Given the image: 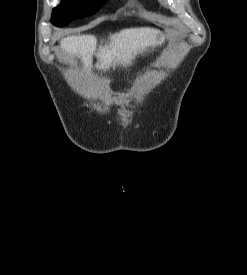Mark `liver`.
<instances>
[{
	"instance_id": "liver-1",
	"label": "liver",
	"mask_w": 247,
	"mask_h": 275,
	"mask_svg": "<svg viewBox=\"0 0 247 275\" xmlns=\"http://www.w3.org/2000/svg\"><path fill=\"white\" fill-rule=\"evenodd\" d=\"M159 33V30L149 27L129 28L111 34L110 41L98 49L94 35L68 36L60 41V45L66 53L80 57L86 70L91 69L92 55L97 51V67L107 70L116 65L127 67L138 54L161 44L157 40Z\"/></svg>"
}]
</instances>
